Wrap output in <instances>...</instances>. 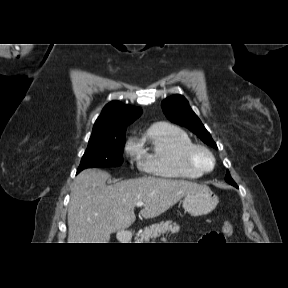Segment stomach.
<instances>
[{
  "label": "stomach",
  "mask_w": 288,
  "mask_h": 288,
  "mask_svg": "<svg viewBox=\"0 0 288 288\" xmlns=\"http://www.w3.org/2000/svg\"><path fill=\"white\" fill-rule=\"evenodd\" d=\"M219 200L218 197L205 185H200L196 190L185 195L183 208L193 216H200L210 213L215 209ZM125 237L126 234H120Z\"/></svg>",
  "instance_id": "stomach-1"
}]
</instances>
